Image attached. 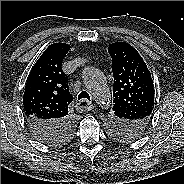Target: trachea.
Segmentation results:
<instances>
[{
	"mask_svg": "<svg viewBox=\"0 0 184 184\" xmlns=\"http://www.w3.org/2000/svg\"><path fill=\"white\" fill-rule=\"evenodd\" d=\"M82 99H87L90 100V96L86 91H82L79 95H78V100H82Z\"/></svg>",
	"mask_w": 184,
	"mask_h": 184,
	"instance_id": "trachea-1",
	"label": "trachea"
}]
</instances>
